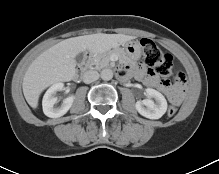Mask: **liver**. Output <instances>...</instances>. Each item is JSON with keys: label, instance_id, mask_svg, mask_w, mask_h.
<instances>
[{"label": "liver", "instance_id": "liver-1", "mask_svg": "<svg viewBox=\"0 0 219 174\" xmlns=\"http://www.w3.org/2000/svg\"><path fill=\"white\" fill-rule=\"evenodd\" d=\"M124 34L97 33L65 39L40 54L28 67L22 83L24 97L37 108L40 94L54 83L67 82L76 74V56L88 51L100 54L134 39Z\"/></svg>", "mask_w": 219, "mask_h": 174}]
</instances>
